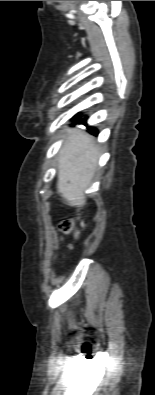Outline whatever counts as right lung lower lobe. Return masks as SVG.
I'll return each instance as SVG.
<instances>
[{"instance_id": "98d812e1", "label": "right lung lower lobe", "mask_w": 155, "mask_h": 395, "mask_svg": "<svg viewBox=\"0 0 155 395\" xmlns=\"http://www.w3.org/2000/svg\"><path fill=\"white\" fill-rule=\"evenodd\" d=\"M78 122L81 123L80 120H78ZM83 124L86 125L85 122H83ZM89 131H90L92 134H94V135H97V134H98V131H97L95 128L89 127Z\"/></svg>"}]
</instances>
